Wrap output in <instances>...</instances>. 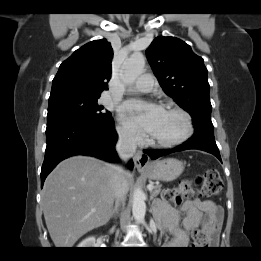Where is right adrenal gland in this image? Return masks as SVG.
<instances>
[{"label": "right adrenal gland", "mask_w": 261, "mask_h": 261, "mask_svg": "<svg viewBox=\"0 0 261 261\" xmlns=\"http://www.w3.org/2000/svg\"><path fill=\"white\" fill-rule=\"evenodd\" d=\"M118 211H119V205L118 203H115V206L111 212V218H116Z\"/></svg>", "instance_id": "2a0ac1e0"}]
</instances>
